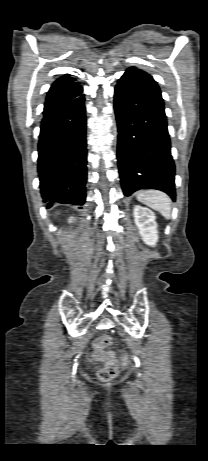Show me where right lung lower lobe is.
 Returning <instances> with one entry per match:
<instances>
[{
	"mask_svg": "<svg viewBox=\"0 0 208 461\" xmlns=\"http://www.w3.org/2000/svg\"><path fill=\"white\" fill-rule=\"evenodd\" d=\"M84 95L43 111L38 143L41 194L53 203L82 205L87 180V143Z\"/></svg>",
	"mask_w": 208,
	"mask_h": 461,
	"instance_id": "obj_1",
	"label": "right lung lower lobe"
}]
</instances>
